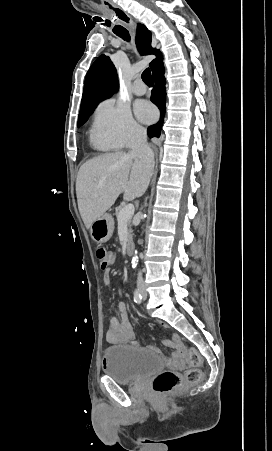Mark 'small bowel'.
Segmentation results:
<instances>
[{"mask_svg":"<svg viewBox=\"0 0 272 451\" xmlns=\"http://www.w3.org/2000/svg\"><path fill=\"white\" fill-rule=\"evenodd\" d=\"M112 262L114 257L112 255ZM111 280L110 271L105 270L103 274V282L105 285H109ZM118 316H114L110 319L109 328L106 332L105 339L109 344H121L127 343L133 346L139 347L140 343L136 338V333L130 321L129 312L124 302H120L117 305ZM164 345L170 348H183L184 343L181 336L178 333H172L171 339L164 342ZM150 350L161 354V351L157 347H150Z\"/></svg>","mask_w":272,"mask_h":451,"instance_id":"c3829d8e","label":"small bowel"}]
</instances>
